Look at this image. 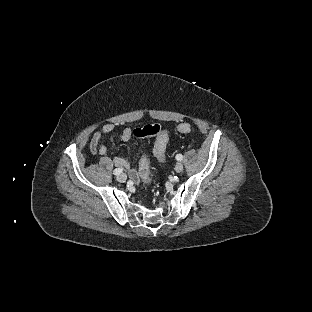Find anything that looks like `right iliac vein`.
I'll return each instance as SVG.
<instances>
[{"label":"right iliac vein","instance_id":"obj_1","mask_svg":"<svg viewBox=\"0 0 312 312\" xmlns=\"http://www.w3.org/2000/svg\"><path fill=\"white\" fill-rule=\"evenodd\" d=\"M126 179H127V176H126V174H124V173H121V174L117 177V180H118L119 182H121V183L125 182Z\"/></svg>","mask_w":312,"mask_h":312}]
</instances>
